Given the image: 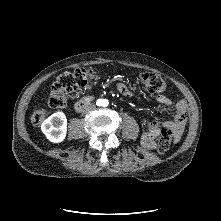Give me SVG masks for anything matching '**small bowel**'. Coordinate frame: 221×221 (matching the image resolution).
<instances>
[{"label":"small bowel","instance_id":"c3829d8e","mask_svg":"<svg viewBox=\"0 0 221 221\" xmlns=\"http://www.w3.org/2000/svg\"><path fill=\"white\" fill-rule=\"evenodd\" d=\"M118 91L126 96H132V91L123 83H119L117 85ZM157 101L161 104L164 109H168L171 107V100L165 95H158ZM186 121V104L184 101L180 100L176 104V113L175 119L173 121H163L162 123L153 122L147 125L145 132L142 135V143L147 148H153L155 146V139L158 137L160 133V129L164 127L171 128L177 138L183 132L184 126Z\"/></svg>","mask_w":221,"mask_h":221}]
</instances>
